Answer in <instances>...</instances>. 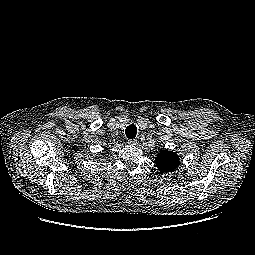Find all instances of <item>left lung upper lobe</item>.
<instances>
[{
	"instance_id": "1",
	"label": "left lung upper lobe",
	"mask_w": 255,
	"mask_h": 255,
	"mask_svg": "<svg viewBox=\"0 0 255 255\" xmlns=\"http://www.w3.org/2000/svg\"><path fill=\"white\" fill-rule=\"evenodd\" d=\"M155 163L161 173H168L180 165V159L175 152L161 150L159 155L155 157Z\"/></svg>"
}]
</instances>
